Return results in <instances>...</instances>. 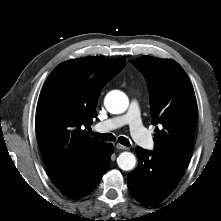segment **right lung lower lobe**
<instances>
[{
  "label": "right lung lower lobe",
  "instance_id": "98d812e1",
  "mask_svg": "<svg viewBox=\"0 0 221 221\" xmlns=\"http://www.w3.org/2000/svg\"><path fill=\"white\" fill-rule=\"evenodd\" d=\"M113 146L107 145L102 158L88 166L54 177L60 190L70 198H81L93 191L109 168Z\"/></svg>",
  "mask_w": 221,
  "mask_h": 221
}]
</instances>
